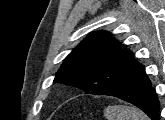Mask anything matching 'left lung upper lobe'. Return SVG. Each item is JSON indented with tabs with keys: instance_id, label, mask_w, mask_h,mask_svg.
I'll return each instance as SVG.
<instances>
[{
	"instance_id": "5c2ea615",
	"label": "left lung upper lobe",
	"mask_w": 165,
	"mask_h": 120,
	"mask_svg": "<svg viewBox=\"0 0 165 120\" xmlns=\"http://www.w3.org/2000/svg\"><path fill=\"white\" fill-rule=\"evenodd\" d=\"M133 60V53L121 50L110 33L94 32L66 57L54 83L108 95L122 83Z\"/></svg>"
}]
</instances>
